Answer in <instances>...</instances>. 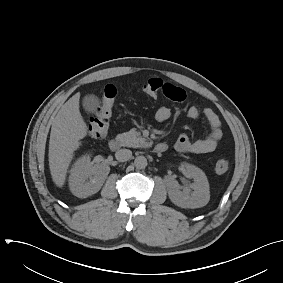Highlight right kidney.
I'll list each match as a JSON object with an SVG mask.
<instances>
[{"mask_svg":"<svg viewBox=\"0 0 283 283\" xmlns=\"http://www.w3.org/2000/svg\"><path fill=\"white\" fill-rule=\"evenodd\" d=\"M109 171L108 165L91 162L89 154L81 156L70 171L69 187L71 192L79 198H87L97 193Z\"/></svg>","mask_w":283,"mask_h":283,"instance_id":"ca27d5eb","label":"right kidney"}]
</instances>
